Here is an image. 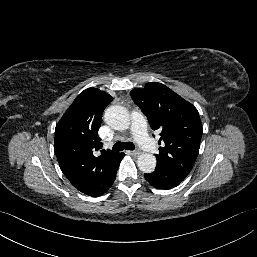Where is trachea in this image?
Returning a JSON list of instances; mask_svg holds the SVG:
<instances>
[{
    "label": "trachea",
    "mask_w": 257,
    "mask_h": 257,
    "mask_svg": "<svg viewBox=\"0 0 257 257\" xmlns=\"http://www.w3.org/2000/svg\"><path fill=\"white\" fill-rule=\"evenodd\" d=\"M134 150L135 146L132 142H117L114 144L112 150L114 152L122 151V150Z\"/></svg>",
    "instance_id": "1"
}]
</instances>
